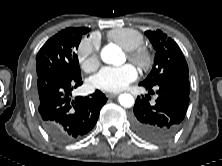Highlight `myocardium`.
<instances>
[{
	"label": "myocardium",
	"instance_id": "obj_1",
	"mask_svg": "<svg viewBox=\"0 0 222 166\" xmlns=\"http://www.w3.org/2000/svg\"><path fill=\"white\" fill-rule=\"evenodd\" d=\"M128 58L142 69H146L151 64V55L143 47H138L127 51Z\"/></svg>",
	"mask_w": 222,
	"mask_h": 166
}]
</instances>
